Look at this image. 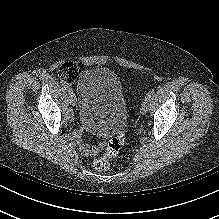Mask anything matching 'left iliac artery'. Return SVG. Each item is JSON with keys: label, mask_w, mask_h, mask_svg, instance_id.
Segmentation results:
<instances>
[{"label": "left iliac artery", "mask_w": 219, "mask_h": 219, "mask_svg": "<svg viewBox=\"0 0 219 219\" xmlns=\"http://www.w3.org/2000/svg\"><path fill=\"white\" fill-rule=\"evenodd\" d=\"M151 96H152V91H149V92L146 94V96H145V99H144V100H146V101H149V100H150V98H151Z\"/></svg>", "instance_id": "1"}]
</instances>
